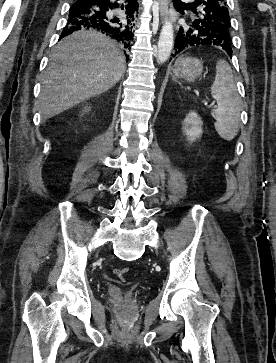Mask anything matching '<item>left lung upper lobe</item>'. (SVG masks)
<instances>
[{
	"mask_svg": "<svg viewBox=\"0 0 276 363\" xmlns=\"http://www.w3.org/2000/svg\"><path fill=\"white\" fill-rule=\"evenodd\" d=\"M195 4L202 5L203 11L201 16L194 20L192 24L203 27V24L207 23L208 29L215 35L216 42L221 41L231 47V23L225 0H195ZM220 43L217 46H220Z\"/></svg>",
	"mask_w": 276,
	"mask_h": 363,
	"instance_id": "obj_1",
	"label": "left lung upper lobe"
}]
</instances>
